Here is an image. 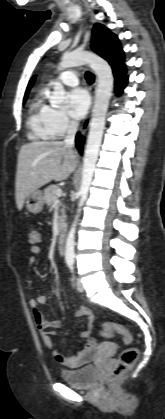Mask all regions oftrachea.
Here are the masks:
<instances>
[{"mask_svg": "<svg viewBox=\"0 0 165 419\" xmlns=\"http://www.w3.org/2000/svg\"><path fill=\"white\" fill-rule=\"evenodd\" d=\"M86 80L88 83L94 82V75L91 72H86Z\"/></svg>", "mask_w": 165, "mask_h": 419, "instance_id": "obj_1", "label": "trachea"}]
</instances>
